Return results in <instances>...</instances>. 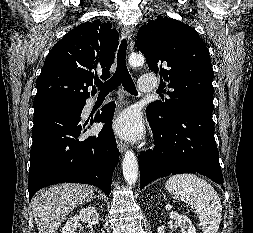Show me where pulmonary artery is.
Listing matches in <instances>:
<instances>
[{"mask_svg": "<svg viewBox=\"0 0 253 233\" xmlns=\"http://www.w3.org/2000/svg\"><path fill=\"white\" fill-rule=\"evenodd\" d=\"M138 87L144 93H151L157 88V81L153 77H140L138 80Z\"/></svg>", "mask_w": 253, "mask_h": 233, "instance_id": "e3ab8cb5", "label": "pulmonary artery"}]
</instances>
